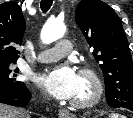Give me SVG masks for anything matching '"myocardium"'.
I'll list each match as a JSON object with an SVG mask.
<instances>
[{
  "label": "myocardium",
  "mask_w": 133,
  "mask_h": 118,
  "mask_svg": "<svg viewBox=\"0 0 133 118\" xmlns=\"http://www.w3.org/2000/svg\"><path fill=\"white\" fill-rule=\"evenodd\" d=\"M79 75L87 80L90 85V95L85 99H74L71 105L79 109H87L96 105L102 98L104 89L102 81L96 71L89 67H84L79 71Z\"/></svg>",
  "instance_id": "f54148a6"
}]
</instances>
